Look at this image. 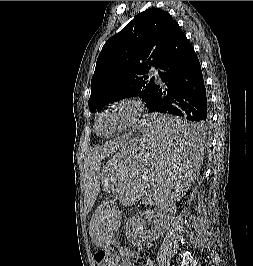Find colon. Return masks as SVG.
Masks as SVG:
<instances>
[{"label": "colon", "instance_id": "obj_1", "mask_svg": "<svg viewBox=\"0 0 253 266\" xmlns=\"http://www.w3.org/2000/svg\"><path fill=\"white\" fill-rule=\"evenodd\" d=\"M97 266H118L117 256L104 250H100L94 255Z\"/></svg>", "mask_w": 253, "mask_h": 266}]
</instances>
